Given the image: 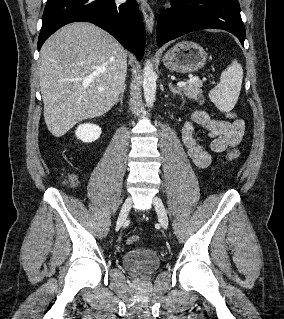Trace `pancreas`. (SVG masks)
<instances>
[{
    "instance_id": "pancreas-1",
    "label": "pancreas",
    "mask_w": 284,
    "mask_h": 319,
    "mask_svg": "<svg viewBox=\"0 0 284 319\" xmlns=\"http://www.w3.org/2000/svg\"><path fill=\"white\" fill-rule=\"evenodd\" d=\"M202 85V81L188 83L186 86H183L181 90L188 98L194 99L202 105L205 103V97L202 95L201 90Z\"/></svg>"
}]
</instances>
